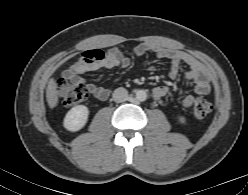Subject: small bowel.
<instances>
[{
  "label": "small bowel",
  "mask_w": 248,
  "mask_h": 195,
  "mask_svg": "<svg viewBox=\"0 0 248 195\" xmlns=\"http://www.w3.org/2000/svg\"><path fill=\"white\" fill-rule=\"evenodd\" d=\"M146 53H155L159 58H165L170 61L168 75L174 79L179 75V68L182 63L187 64L188 69L184 74V81L193 82L195 84V93L199 96H206L210 93V76L203 65L193 57L172 50L154 43H142L138 45L133 54L140 57ZM131 59L117 48H111L107 51L100 49H90L84 52L82 58L68 67L63 76L69 80L85 83L81 77L82 74L97 71L103 68L121 67L128 68ZM88 91L98 100L104 101L109 97V90L105 87L88 83L86 85ZM169 89L166 86H157L153 90V96L157 100H161ZM195 102V96L187 94L182 99L184 107H191Z\"/></svg>",
  "instance_id": "obj_1"
}]
</instances>
